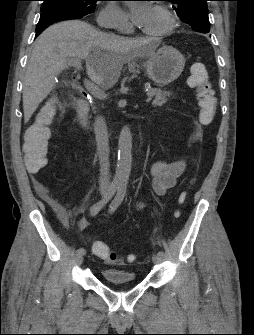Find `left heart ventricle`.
Returning <instances> with one entry per match:
<instances>
[{
	"mask_svg": "<svg viewBox=\"0 0 254 335\" xmlns=\"http://www.w3.org/2000/svg\"><path fill=\"white\" fill-rule=\"evenodd\" d=\"M167 25V19L156 8H153L151 17L143 28L149 32H158L164 29Z\"/></svg>",
	"mask_w": 254,
	"mask_h": 335,
	"instance_id": "1",
	"label": "left heart ventricle"
}]
</instances>
